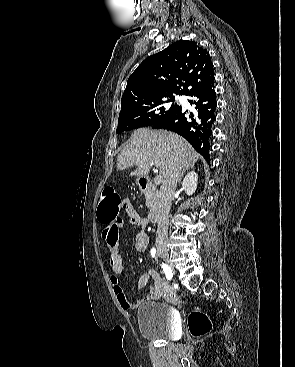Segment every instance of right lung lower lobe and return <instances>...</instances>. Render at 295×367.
Listing matches in <instances>:
<instances>
[{"label": "right lung lower lobe", "instance_id": "obj_1", "mask_svg": "<svg viewBox=\"0 0 295 367\" xmlns=\"http://www.w3.org/2000/svg\"><path fill=\"white\" fill-rule=\"evenodd\" d=\"M214 80L193 90L187 96L193 97L189 103L195 105V111H184L180 106L172 114L159 120L151 127L167 129L183 136L208 162H210L209 140L212 135V125L216 119V93Z\"/></svg>", "mask_w": 295, "mask_h": 367}]
</instances>
